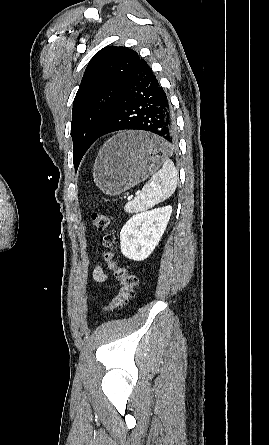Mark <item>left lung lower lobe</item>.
<instances>
[{
	"instance_id": "left-lung-lower-lobe-1",
	"label": "left lung lower lobe",
	"mask_w": 269,
	"mask_h": 445,
	"mask_svg": "<svg viewBox=\"0 0 269 445\" xmlns=\"http://www.w3.org/2000/svg\"><path fill=\"white\" fill-rule=\"evenodd\" d=\"M125 129L152 132L169 146L176 142L175 119L168 97L143 59L130 76L98 138Z\"/></svg>"
}]
</instances>
